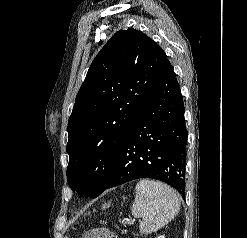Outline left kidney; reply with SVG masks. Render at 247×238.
<instances>
[{"label":"left kidney","instance_id":"obj_1","mask_svg":"<svg viewBox=\"0 0 247 238\" xmlns=\"http://www.w3.org/2000/svg\"><path fill=\"white\" fill-rule=\"evenodd\" d=\"M157 238H165V237L162 235V236H158Z\"/></svg>","mask_w":247,"mask_h":238}]
</instances>
